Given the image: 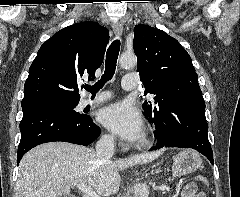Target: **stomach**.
I'll return each mask as SVG.
<instances>
[{
	"label": "stomach",
	"instance_id": "1",
	"mask_svg": "<svg viewBox=\"0 0 240 197\" xmlns=\"http://www.w3.org/2000/svg\"><path fill=\"white\" fill-rule=\"evenodd\" d=\"M201 167V159L193 150H183L173 158L172 173L174 176H183L195 172Z\"/></svg>",
	"mask_w": 240,
	"mask_h": 197
}]
</instances>
